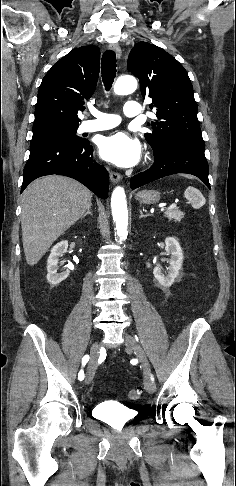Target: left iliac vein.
Instances as JSON below:
<instances>
[{
	"label": "left iliac vein",
	"mask_w": 236,
	"mask_h": 486,
	"mask_svg": "<svg viewBox=\"0 0 236 486\" xmlns=\"http://www.w3.org/2000/svg\"><path fill=\"white\" fill-rule=\"evenodd\" d=\"M125 346L127 349L132 350L137 356L139 362L142 365L144 371V388L145 390L152 394L156 390L155 383L151 378V368L147 356L143 348L134 340V338L128 333H124Z\"/></svg>",
	"instance_id": "4c4485c4"
}]
</instances>
